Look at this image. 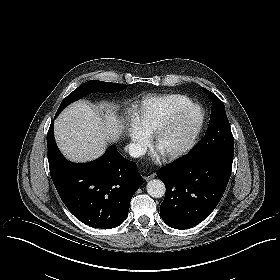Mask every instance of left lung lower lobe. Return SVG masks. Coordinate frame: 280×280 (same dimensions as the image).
<instances>
[{
	"instance_id": "obj_1",
	"label": "left lung lower lobe",
	"mask_w": 280,
	"mask_h": 280,
	"mask_svg": "<svg viewBox=\"0 0 280 280\" xmlns=\"http://www.w3.org/2000/svg\"><path fill=\"white\" fill-rule=\"evenodd\" d=\"M232 163L225 154L190 155L160 169L157 176L166 186L162 220L183 230L206 219L224 194Z\"/></svg>"
}]
</instances>
